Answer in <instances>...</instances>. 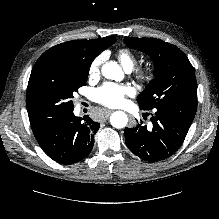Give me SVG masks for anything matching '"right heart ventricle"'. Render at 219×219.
I'll return each mask as SVG.
<instances>
[{"mask_svg":"<svg viewBox=\"0 0 219 219\" xmlns=\"http://www.w3.org/2000/svg\"><path fill=\"white\" fill-rule=\"evenodd\" d=\"M117 58L126 70H131L136 64V56L126 48L118 51Z\"/></svg>","mask_w":219,"mask_h":219,"instance_id":"right-heart-ventricle-1","label":"right heart ventricle"}]
</instances>
